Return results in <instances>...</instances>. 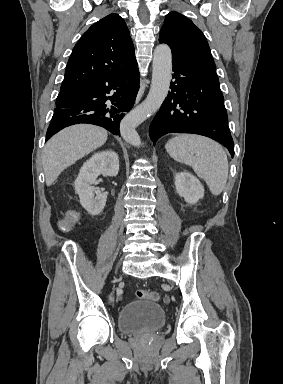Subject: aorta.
I'll list each match as a JSON object with an SVG mask.
<instances>
[{
    "label": "aorta",
    "instance_id": "obj_1",
    "mask_svg": "<svg viewBox=\"0 0 283 384\" xmlns=\"http://www.w3.org/2000/svg\"><path fill=\"white\" fill-rule=\"evenodd\" d=\"M152 68V82L147 98L128 113L120 124L123 139L136 147L141 145L136 127L160 108L169 91L172 54L168 45L160 44L155 48Z\"/></svg>",
    "mask_w": 283,
    "mask_h": 384
}]
</instances>
